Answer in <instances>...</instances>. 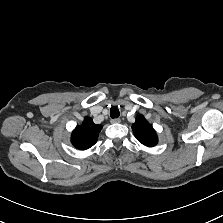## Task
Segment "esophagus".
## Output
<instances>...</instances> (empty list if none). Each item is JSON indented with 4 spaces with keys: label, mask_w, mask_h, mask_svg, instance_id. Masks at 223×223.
<instances>
[{
    "label": "esophagus",
    "mask_w": 223,
    "mask_h": 223,
    "mask_svg": "<svg viewBox=\"0 0 223 223\" xmlns=\"http://www.w3.org/2000/svg\"><path fill=\"white\" fill-rule=\"evenodd\" d=\"M120 122H121L120 118L111 119L112 124H117V123H120Z\"/></svg>",
    "instance_id": "1"
}]
</instances>
